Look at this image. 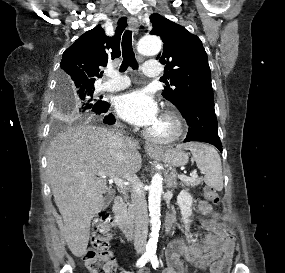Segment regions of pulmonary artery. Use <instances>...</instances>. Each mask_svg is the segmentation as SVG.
<instances>
[{
    "instance_id": "1",
    "label": "pulmonary artery",
    "mask_w": 285,
    "mask_h": 273,
    "mask_svg": "<svg viewBox=\"0 0 285 273\" xmlns=\"http://www.w3.org/2000/svg\"><path fill=\"white\" fill-rule=\"evenodd\" d=\"M143 72L149 77H158L161 75V68L157 61H147L143 65ZM107 79L100 86V90L104 91H118L130 85V80L120 75L114 69L109 68L106 72Z\"/></svg>"
}]
</instances>
